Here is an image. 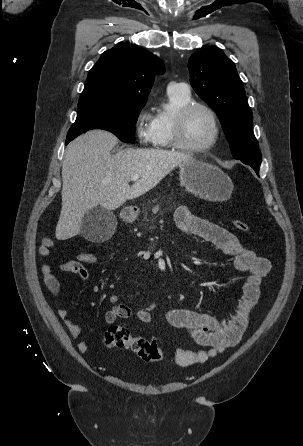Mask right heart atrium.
<instances>
[{"instance_id": "1", "label": "right heart atrium", "mask_w": 303, "mask_h": 446, "mask_svg": "<svg viewBox=\"0 0 303 446\" xmlns=\"http://www.w3.org/2000/svg\"><path fill=\"white\" fill-rule=\"evenodd\" d=\"M135 133L140 143L147 144L153 138V118L141 110L135 120Z\"/></svg>"}]
</instances>
